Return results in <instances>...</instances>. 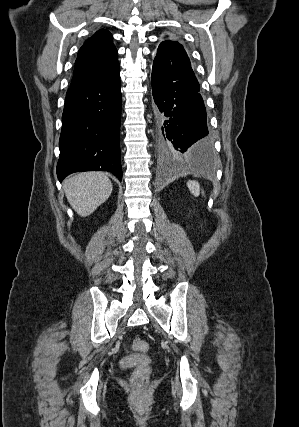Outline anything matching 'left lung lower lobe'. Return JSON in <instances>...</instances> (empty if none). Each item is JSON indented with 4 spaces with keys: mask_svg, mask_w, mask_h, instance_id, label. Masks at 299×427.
Segmentation results:
<instances>
[{
    "mask_svg": "<svg viewBox=\"0 0 299 427\" xmlns=\"http://www.w3.org/2000/svg\"><path fill=\"white\" fill-rule=\"evenodd\" d=\"M158 152L165 162L190 160L197 171L214 169L212 140L199 83L183 46L166 40L153 62Z\"/></svg>",
    "mask_w": 299,
    "mask_h": 427,
    "instance_id": "1",
    "label": "left lung lower lobe"
}]
</instances>
